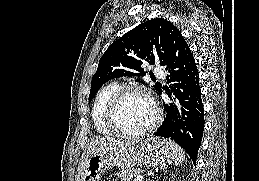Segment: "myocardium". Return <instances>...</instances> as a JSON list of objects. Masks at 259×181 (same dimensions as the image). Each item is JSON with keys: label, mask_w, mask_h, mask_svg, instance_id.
<instances>
[{"label": "myocardium", "mask_w": 259, "mask_h": 181, "mask_svg": "<svg viewBox=\"0 0 259 181\" xmlns=\"http://www.w3.org/2000/svg\"><path fill=\"white\" fill-rule=\"evenodd\" d=\"M130 93H139L146 97L149 102L151 103L155 116L152 122L146 126L145 128L138 130V131H127L123 129L117 120L118 110L121 105L122 100L124 97ZM162 118V112L156 103L153 95L149 92V90L141 85L131 84V85H124L120 86L115 93L112 95L107 109H106V122L111 127V129L116 133L123 137L127 138H138L147 135L148 133L152 132L160 123Z\"/></svg>", "instance_id": "myocardium-1"}]
</instances>
